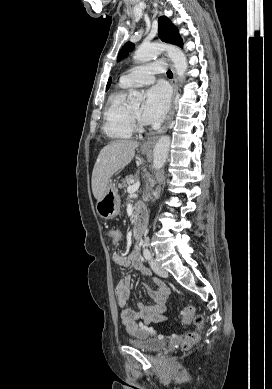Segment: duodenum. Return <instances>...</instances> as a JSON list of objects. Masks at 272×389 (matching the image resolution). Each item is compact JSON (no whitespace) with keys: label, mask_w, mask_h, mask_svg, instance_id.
<instances>
[{"label":"duodenum","mask_w":272,"mask_h":389,"mask_svg":"<svg viewBox=\"0 0 272 389\" xmlns=\"http://www.w3.org/2000/svg\"><path fill=\"white\" fill-rule=\"evenodd\" d=\"M146 217L141 208H137L134 217V238L139 240L145 229Z\"/></svg>","instance_id":"410a0bca"}]
</instances>
